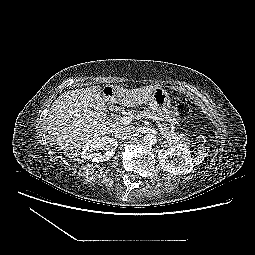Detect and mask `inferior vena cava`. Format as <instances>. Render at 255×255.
Segmentation results:
<instances>
[{"instance_id":"1","label":"inferior vena cava","mask_w":255,"mask_h":255,"mask_svg":"<svg viewBox=\"0 0 255 255\" xmlns=\"http://www.w3.org/2000/svg\"><path fill=\"white\" fill-rule=\"evenodd\" d=\"M135 132L134 126H120L115 130V135L119 138H124L132 135Z\"/></svg>"}]
</instances>
